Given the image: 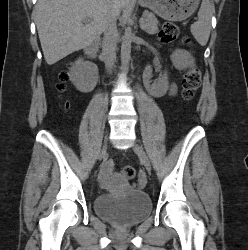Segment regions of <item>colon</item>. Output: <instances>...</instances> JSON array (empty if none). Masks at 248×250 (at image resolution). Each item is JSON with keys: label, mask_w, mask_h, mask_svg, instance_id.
Here are the masks:
<instances>
[{"label": "colon", "mask_w": 248, "mask_h": 250, "mask_svg": "<svg viewBox=\"0 0 248 250\" xmlns=\"http://www.w3.org/2000/svg\"><path fill=\"white\" fill-rule=\"evenodd\" d=\"M159 38L163 43H172L181 41L187 45L191 44L188 37L180 35L178 28L169 22L163 24L159 33ZM58 77L61 81L67 79L65 72H59ZM201 83V72L197 66L191 65L188 67L182 79V95L185 100H191L196 94ZM59 88H62L61 85ZM110 165V164H109ZM111 166V165H110ZM121 174L124 179L130 181L135 177V168L131 165H125L121 169Z\"/></svg>", "instance_id": "obj_1"}]
</instances>
